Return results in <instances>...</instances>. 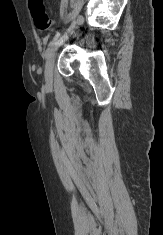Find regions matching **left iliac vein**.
Wrapping results in <instances>:
<instances>
[{
  "label": "left iliac vein",
  "mask_w": 163,
  "mask_h": 235,
  "mask_svg": "<svg viewBox=\"0 0 163 235\" xmlns=\"http://www.w3.org/2000/svg\"><path fill=\"white\" fill-rule=\"evenodd\" d=\"M57 46H55L50 54V56L48 57V60L46 62V66H45V76H46V80L48 82H51L53 79V68H54V58H55V54H56V50H57Z\"/></svg>",
  "instance_id": "4c4485c4"
}]
</instances>
